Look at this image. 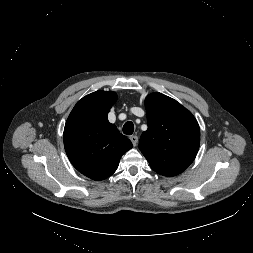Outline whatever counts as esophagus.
I'll return each mask as SVG.
<instances>
[{
	"instance_id": "esophagus-1",
	"label": "esophagus",
	"mask_w": 253,
	"mask_h": 253,
	"mask_svg": "<svg viewBox=\"0 0 253 253\" xmlns=\"http://www.w3.org/2000/svg\"><path fill=\"white\" fill-rule=\"evenodd\" d=\"M130 140H131L133 146H137V144H138V136L132 135V136H130Z\"/></svg>"
}]
</instances>
